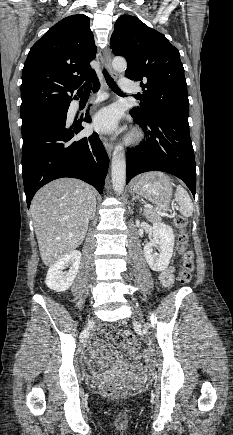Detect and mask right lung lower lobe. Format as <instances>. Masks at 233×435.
<instances>
[{"label":"right lung lower lobe","mask_w":233,"mask_h":435,"mask_svg":"<svg viewBox=\"0 0 233 435\" xmlns=\"http://www.w3.org/2000/svg\"><path fill=\"white\" fill-rule=\"evenodd\" d=\"M99 81L94 79V91ZM67 115L51 116L22 127V174L27 206L38 189L62 177L81 179L103 193L109 157L97 133L72 141L91 122L87 114L70 125Z\"/></svg>","instance_id":"98d812e1"}]
</instances>
